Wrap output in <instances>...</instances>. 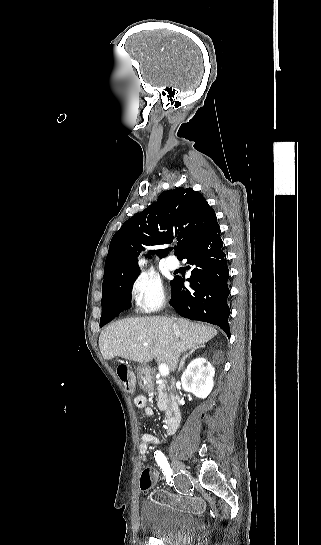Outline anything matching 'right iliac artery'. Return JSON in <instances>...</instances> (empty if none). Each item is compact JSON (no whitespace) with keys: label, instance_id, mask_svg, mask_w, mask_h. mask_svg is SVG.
Returning <instances> with one entry per match:
<instances>
[{"label":"right iliac artery","instance_id":"obj_1","mask_svg":"<svg viewBox=\"0 0 321 545\" xmlns=\"http://www.w3.org/2000/svg\"><path fill=\"white\" fill-rule=\"evenodd\" d=\"M154 457L162 470L163 474L166 476V481L169 485H172V469L161 451H155Z\"/></svg>","mask_w":321,"mask_h":545}]
</instances>
